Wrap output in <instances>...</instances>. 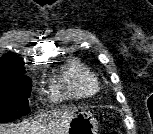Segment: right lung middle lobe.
<instances>
[{"label": "right lung middle lobe", "mask_w": 153, "mask_h": 134, "mask_svg": "<svg viewBox=\"0 0 153 134\" xmlns=\"http://www.w3.org/2000/svg\"><path fill=\"white\" fill-rule=\"evenodd\" d=\"M31 86V79L27 76L0 77V123L30 112Z\"/></svg>", "instance_id": "dd1d6c3e"}]
</instances>
